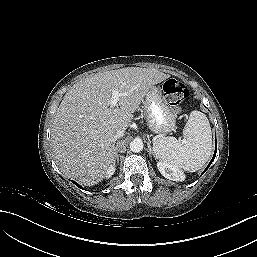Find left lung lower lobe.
<instances>
[{
  "label": "left lung lower lobe",
  "mask_w": 257,
  "mask_h": 257,
  "mask_svg": "<svg viewBox=\"0 0 257 257\" xmlns=\"http://www.w3.org/2000/svg\"><path fill=\"white\" fill-rule=\"evenodd\" d=\"M216 152H217V146L215 147V152H214L213 158L211 159L210 163L208 164V166L206 167V169L203 171V173L209 168V166L211 165V163H212L213 160L215 159ZM203 173H202V174H203Z\"/></svg>",
  "instance_id": "0a47b994"
}]
</instances>
